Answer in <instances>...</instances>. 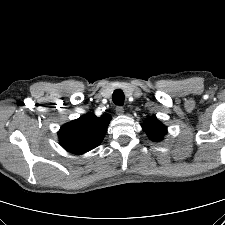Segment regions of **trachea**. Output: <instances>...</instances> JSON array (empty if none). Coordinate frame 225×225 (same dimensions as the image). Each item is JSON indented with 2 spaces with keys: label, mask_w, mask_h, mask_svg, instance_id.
I'll list each match as a JSON object with an SVG mask.
<instances>
[{
  "label": "trachea",
  "mask_w": 225,
  "mask_h": 225,
  "mask_svg": "<svg viewBox=\"0 0 225 225\" xmlns=\"http://www.w3.org/2000/svg\"><path fill=\"white\" fill-rule=\"evenodd\" d=\"M113 102L116 105L122 106L124 104V93L122 90L117 89L113 92L112 96Z\"/></svg>",
  "instance_id": "1"
}]
</instances>
